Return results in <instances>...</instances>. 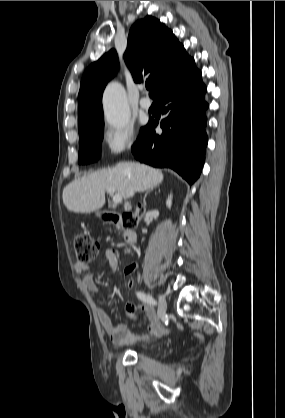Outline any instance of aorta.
<instances>
[{"mask_svg":"<svg viewBox=\"0 0 285 418\" xmlns=\"http://www.w3.org/2000/svg\"><path fill=\"white\" fill-rule=\"evenodd\" d=\"M105 119L109 126L115 129L125 128L130 120L126 92L117 82L108 84L103 94Z\"/></svg>","mask_w":285,"mask_h":418,"instance_id":"762f6f07","label":"aorta"}]
</instances>
